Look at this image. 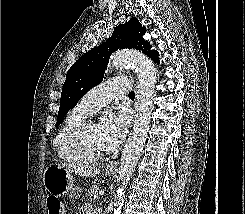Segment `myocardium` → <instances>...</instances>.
Masks as SVG:
<instances>
[{
    "mask_svg": "<svg viewBox=\"0 0 245 214\" xmlns=\"http://www.w3.org/2000/svg\"><path fill=\"white\" fill-rule=\"evenodd\" d=\"M94 124L92 120H84L74 130L70 138V147L74 154L82 161H98L105 157V153L92 154L88 152L84 144V136L89 125Z\"/></svg>",
    "mask_w": 245,
    "mask_h": 214,
    "instance_id": "f54148a6",
    "label": "myocardium"
}]
</instances>
